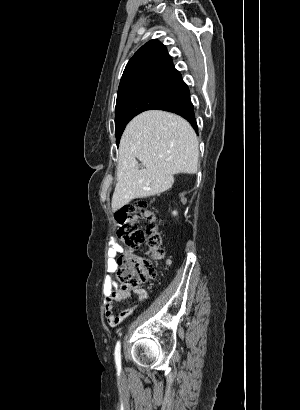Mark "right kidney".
<instances>
[{
	"label": "right kidney",
	"mask_w": 300,
	"mask_h": 410,
	"mask_svg": "<svg viewBox=\"0 0 300 410\" xmlns=\"http://www.w3.org/2000/svg\"><path fill=\"white\" fill-rule=\"evenodd\" d=\"M176 214H177V212H176V211H174V212H173V215H176Z\"/></svg>",
	"instance_id": "ca27d5eb"
}]
</instances>
